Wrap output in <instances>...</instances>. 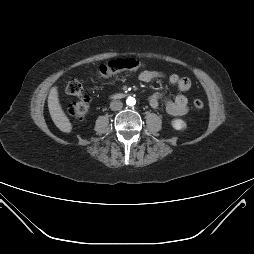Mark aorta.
<instances>
[{"label": "aorta", "mask_w": 254, "mask_h": 254, "mask_svg": "<svg viewBox=\"0 0 254 254\" xmlns=\"http://www.w3.org/2000/svg\"><path fill=\"white\" fill-rule=\"evenodd\" d=\"M126 104L128 106H134L136 104V99L130 96L126 99Z\"/></svg>", "instance_id": "1"}]
</instances>
